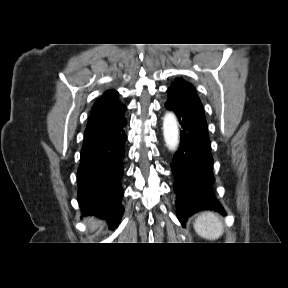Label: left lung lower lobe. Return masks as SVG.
Listing matches in <instances>:
<instances>
[{
    "instance_id": "0a47b994",
    "label": "left lung lower lobe",
    "mask_w": 288,
    "mask_h": 288,
    "mask_svg": "<svg viewBox=\"0 0 288 288\" xmlns=\"http://www.w3.org/2000/svg\"><path fill=\"white\" fill-rule=\"evenodd\" d=\"M165 106L176 113L182 129L180 147L171 165L179 221L185 224L191 215L204 209L225 214L212 190L211 143L199 97L168 93Z\"/></svg>"
}]
</instances>
